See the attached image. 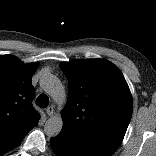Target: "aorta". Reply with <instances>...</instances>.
Here are the masks:
<instances>
[{"label":"aorta","instance_id":"obj_1","mask_svg":"<svg viewBox=\"0 0 156 156\" xmlns=\"http://www.w3.org/2000/svg\"><path fill=\"white\" fill-rule=\"evenodd\" d=\"M41 88L50 95L56 102L64 101L66 93L58 78L52 74L43 75L40 79ZM63 127V119L57 114L51 116L44 125L45 134L48 137L57 136Z\"/></svg>","mask_w":156,"mask_h":156}]
</instances>
